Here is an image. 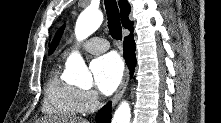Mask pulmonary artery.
<instances>
[{"label":"pulmonary artery","instance_id":"1","mask_svg":"<svg viewBox=\"0 0 221 123\" xmlns=\"http://www.w3.org/2000/svg\"><path fill=\"white\" fill-rule=\"evenodd\" d=\"M81 47L90 53L99 54V53L106 51L109 48V44L106 39L99 38V37H93V38H90L89 40L85 41L81 45ZM70 50H71V47L67 48L63 52V56H66Z\"/></svg>","mask_w":221,"mask_h":123}]
</instances>
